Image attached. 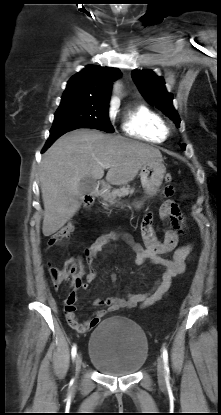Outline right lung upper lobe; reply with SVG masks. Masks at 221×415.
<instances>
[{"label":"right lung upper lobe","mask_w":221,"mask_h":415,"mask_svg":"<svg viewBox=\"0 0 221 415\" xmlns=\"http://www.w3.org/2000/svg\"><path fill=\"white\" fill-rule=\"evenodd\" d=\"M120 70L111 67L88 65L67 83L63 98H87L109 102L112 82Z\"/></svg>","instance_id":"cb5924a9"}]
</instances>
